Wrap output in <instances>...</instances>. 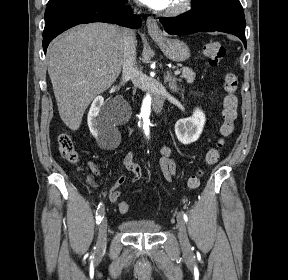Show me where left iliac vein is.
Wrapping results in <instances>:
<instances>
[{
  "label": "left iliac vein",
  "mask_w": 288,
  "mask_h": 280,
  "mask_svg": "<svg viewBox=\"0 0 288 280\" xmlns=\"http://www.w3.org/2000/svg\"><path fill=\"white\" fill-rule=\"evenodd\" d=\"M177 226L180 244L184 249H188L190 244L187 237L186 224L183 218V214H180L179 212L177 213Z\"/></svg>",
  "instance_id": "4c4485c4"
}]
</instances>
